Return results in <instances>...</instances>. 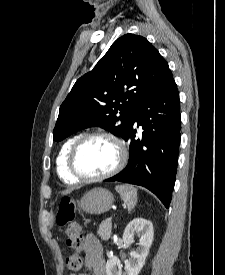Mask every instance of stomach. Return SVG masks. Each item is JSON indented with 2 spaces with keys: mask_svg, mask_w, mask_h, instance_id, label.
Instances as JSON below:
<instances>
[{
  "mask_svg": "<svg viewBox=\"0 0 225 275\" xmlns=\"http://www.w3.org/2000/svg\"><path fill=\"white\" fill-rule=\"evenodd\" d=\"M113 201L111 192L103 188H95L81 198L79 206L86 213L99 215L107 212Z\"/></svg>",
  "mask_w": 225,
  "mask_h": 275,
  "instance_id": "stomach-1",
  "label": "stomach"
}]
</instances>
